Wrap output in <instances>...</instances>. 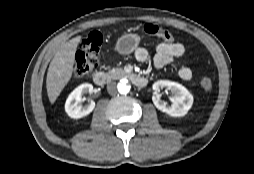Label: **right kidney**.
<instances>
[{
	"label": "right kidney",
	"mask_w": 254,
	"mask_h": 174,
	"mask_svg": "<svg viewBox=\"0 0 254 174\" xmlns=\"http://www.w3.org/2000/svg\"><path fill=\"white\" fill-rule=\"evenodd\" d=\"M93 86L89 83H84L75 88L68 96L65 103V111L71 118L78 119L90 114L95 108V102L91 100L89 104H82V96L85 93H92Z\"/></svg>",
	"instance_id": "right-kidney-1"
}]
</instances>
